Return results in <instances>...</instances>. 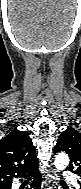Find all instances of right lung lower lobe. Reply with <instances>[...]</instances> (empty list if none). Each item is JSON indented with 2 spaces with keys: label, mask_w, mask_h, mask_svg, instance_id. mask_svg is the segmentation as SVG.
Returning a JSON list of instances; mask_svg holds the SVG:
<instances>
[{
  "label": "right lung lower lobe",
  "mask_w": 81,
  "mask_h": 189,
  "mask_svg": "<svg viewBox=\"0 0 81 189\" xmlns=\"http://www.w3.org/2000/svg\"><path fill=\"white\" fill-rule=\"evenodd\" d=\"M29 174L34 175L35 180L33 181V183L31 184V187L29 189H32L33 187H35L34 189H40L41 186V176L40 173L36 168H34L31 172H29ZM26 175H24L23 177H25ZM0 189H11V184L6 185V186H0Z\"/></svg>",
  "instance_id": "98d812e1"
}]
</instances>
